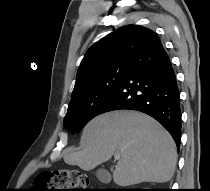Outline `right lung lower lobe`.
<instances>
[{
    "mask_svg": "<svg viewBox=\"0 0 210 191\" xmlns=\"http://www.w3.org/2000/svg\"><path fill=\"white\" fill-rule=\"evenodd\" d=\"M120 109L137 110L152 116L168 130L179 147V89L170 58L157 34L130 61L125 76L99 114Z\"/></svg>",
    "mask_w": 210,
    "mask_h": 191,
    "instance_id": "right-lung-lower-lobe-1",
    "label": "right lung lower lobe"
}]
</instances>
